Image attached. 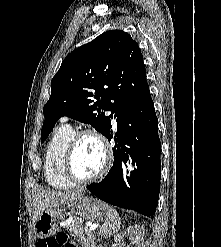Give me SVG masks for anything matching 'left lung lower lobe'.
Here are the masks:
<instances>
[{
	"mask_svg": "<svg viewBox=\"0 0 221 247\" xmlns=\"http://www.w3.org/2000/svg\"><path fill=\"white\" fill-rule=\"evenodd\" d=\"M117 131L110 125L105 137L115 139L114 163L107 176L87 189L101 200L153 218L160 191L161 162L158 119L151 96L115 111ZM131 159L137 169L123 180L122 163Z\"/></svg>",
	"mask_w": 221,
	"mask_h": 247,
	"instance_id": "obj_1",
	"label": "left lung lower lobe"
}]
</instances>
